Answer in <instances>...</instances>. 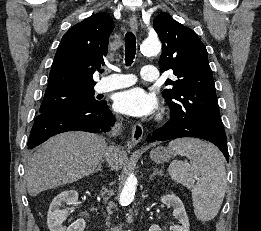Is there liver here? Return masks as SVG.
Wrapping results in <instances>:
<instances>
[{
    "label": "liver",
    "mask_w": 261,
    "mask_h": 231,
    "mask_svg": "<svg viewBox=\"0 0 261 231\" xmlns=\"http://www.w3.org/2000/svg\"><path fill=\"white\" fill-rule=\"evenodd\" d=\"M105 139L86 132H66L47 140L25 165V181L30 196L60 185L75 182L91 174L106 153ZM107 159L113 170H119L126 154L110 147Z\"/></svg>",
    "instance_id": "obj_1"
}]
</instances>
